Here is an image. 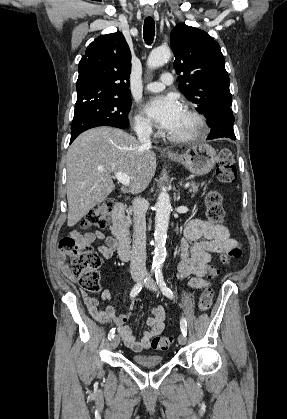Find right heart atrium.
Wrapping results in <instances>:
<instances>
[{
    "mask_svg": "<svg viewBox=\"0 0 287 419\" xmlns=\"http://www.w3.org/2000/svg\"><path fill=\"white\" fill-rule=\"evenodd\" d=\"M134 129L139 135L149 136L153 133L151 122L142 114L135 115Z\"/></svg>",
    "mask_w": 287,
    "mask_h": 419,
    "instance_id": "obj_1",
    "label": "right heart atrium"
}]
</instances>
